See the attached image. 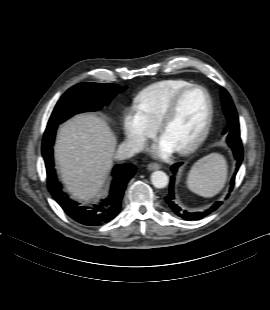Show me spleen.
I'll use <instances>...</instances> for the list:
<instances>
[{"mask_svg": "<svg viewBox=\"0 0 270 310\" xmlns=\"http://www.w3.org/2000/svg\"><path fill=\"white\" fill-rule=\"evenodd\" d=\"M227 175L226 159L221 154L213 153L193 166L187 177V186L192 192L211 198L224 188Z\"/></svg>", "mask_w": 270, "mask_h": 310, "instance_id": "1", "label": "spleen"}]
</instances>
